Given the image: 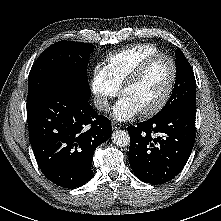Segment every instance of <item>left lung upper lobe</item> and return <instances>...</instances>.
<instances>
[{"instance_id": "left-lung-upper-lobe-1", "label": "left lung upper lobe", "mask_w": 221, "mask_h": 221, "mask_svg": "<svg viewBox=\"0 0 221 221\" xmlns=\"http://www.w3.org/2000/svg\"><path fill=\"white\" fill-rule=\"evenodd\" d=\"M176 81L172 94L154 117L161 118L179 108H196V81L190 63L180 49H176Z\"/></svg>"}]
</instances>
